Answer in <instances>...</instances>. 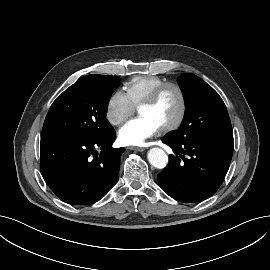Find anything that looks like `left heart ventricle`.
<instances>
[{"mask_svg": "<svg viewBox=\"0 0 270 270\" xmlns=\"http://www.w3.org/2000/svg\"><path fill=\"white\" fill-rule=\"evenodd\" d=\"M179 112V96L175 89L168 88L159 97L157 102L151 106L139 107L140 116L151 118L161 129L172 123Z\"/></svg>", "mask_w": 270, "mask_h": 270, "instance_id": "1", "label": "left heart ventricle"}]
</instances>
